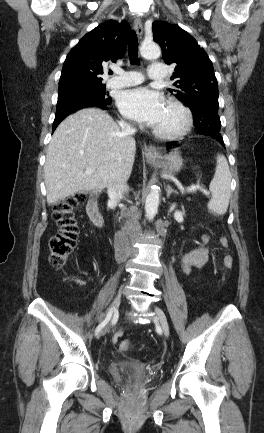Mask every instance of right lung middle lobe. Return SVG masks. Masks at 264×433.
Here are the masks:
<instances>
[{"label": "right lung middle lobe", "instance_id": "1", "mask_svg": "<svg viewBox=\"0 0 264 433\" xmlns=\"http://www.w3.org/2000/svg\"><path fill=\"white\" fill-rule=\"evenodd\" d=\"M86 98H98L103 101L112 100L108 96V92H105V85L103 84L70 87L58 94L56 116L65 112L67 103Z\"/></svg>", "mask_w": 264, "mask_h": 433}]
</instances>
